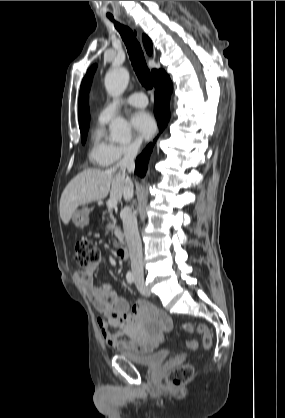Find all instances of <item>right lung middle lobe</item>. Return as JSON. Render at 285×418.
I'll list each match as a JSON object with an SVG mask.
<instances>
[{
    "label": "right lung middle lobe",
    "instance_id": "obj_1",
    "mask_svg": "<svg viewBox=\"0 0 285 418\" xmlns=\"http://www.w3.org/2000/svg\"><path fill=\"white\" fill-rule=\"evenodd\" d=\"M87 130H88V126H85V127L80 128V131H81V139H82V143L83 144H84L85 139H86Z\"/></svg>",
    "mask_w": 285,
    "mask_h": 418
}]
</instances>
